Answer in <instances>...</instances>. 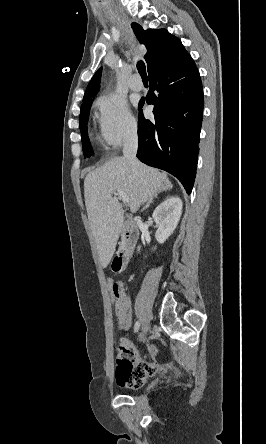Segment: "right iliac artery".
I'll return each mask as SVG.
<instances>
[{
  "mask_svg": "<svg viewBox=\"0 0 266 444\" xmlns=\"http://www.w3.org/2000/svg\"><path fill=\"white\" fill-rule=\"evenodd\" d=\"M139 328H140V323H139V321H136V323L134 325V332H138Z\"/></svg>",
  "mask_w": 266,
  "mask_h": 444,
  "instance_id": "1",
  "label": "right iliac artery"
}]
</instances>
